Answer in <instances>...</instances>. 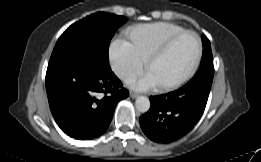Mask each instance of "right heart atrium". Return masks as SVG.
<instances>
[{
	"label": "right heart atrium",
	"instance_id": "d8ad5b80",
	"mask_svg": "<svg viewBox=\"0 0 261 162\" xmlns=\"http://www.w3.org/2000/svg\"><path fill=\"white\" fill-rule=\"evenodd\" d=\"M109 60L112 70L122 80H128L139 74L145 65L131 42L117 38L109 48Z\"/></svg>",
	"mask_w": 261,
	"mask_h": 162
}]
</instances>
